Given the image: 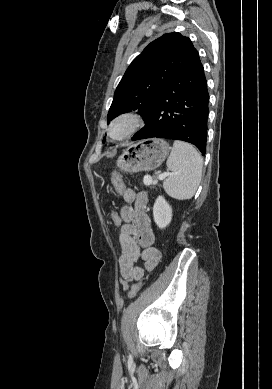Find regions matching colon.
I'll use <instances>...</instances> for the list:
<instances>
[{"instance_id": "colon-1", "label": "colon", "mask_w": 272, "mask_h": 389, "mask_svg": "<svg viewBox=\"0 0 272 389\" xmlns=\"http://www.w3.org/2000/svg\"><path fill=\"white\" fill-rule=\"evenodd\" d=\"M111 181H112L114 189L118 193L123 192L124 184H123L122 175L120 172L114 171L112 173V176H111ZM111 221H112L114 226H117V227L121 226L122 220H121L120 213L118 211L111 212ZM141 287H142L141 282H137V283L133 284L130 288V291H129V297L130 298L136 297L138 295V293L140 292Z\"/></svg>"}]
</instances>
